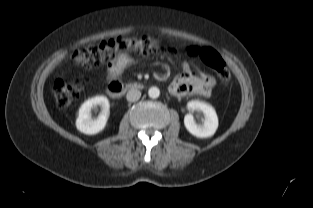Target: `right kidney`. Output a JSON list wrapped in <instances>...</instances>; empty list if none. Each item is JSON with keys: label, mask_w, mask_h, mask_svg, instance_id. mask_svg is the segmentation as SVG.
I'll return each instance as SVG.
<instances>
[{"label": "right kidney", "mask_w": 313, "mask_h": 208, "mask_svg": "<svg viewBox=\"0 0 313 208\" xmlns=\"http://www.w3.org/2000/svg\"><path fill=\"white\" fill-rule=\"evenodd\" d=\"M101 107L97 119H92L91 110ZM109 100L103 95H98L86 100L78 110L76 118L77 129L87 135H94L103 131L107 125L109 116Z\"/></svg>", "instance_id": "1"}]
</instances>
